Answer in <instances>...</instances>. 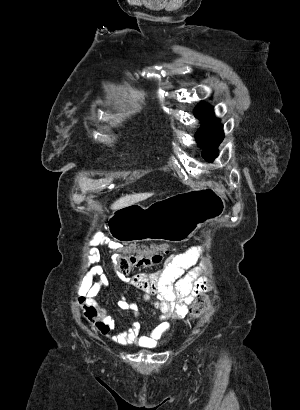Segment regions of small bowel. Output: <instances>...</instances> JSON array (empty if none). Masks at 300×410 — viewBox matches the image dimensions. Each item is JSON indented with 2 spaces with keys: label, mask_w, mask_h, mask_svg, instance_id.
<instances>
[{
  "label": "small bowel",
  "mask_w": 300,
  "mask_h": 410,
  "mask_svg": "<svg viewBox=\"0 0 300 410\" xmlns=\"http://www.w3.org/2000/svg\"><path fill=\"white\" fill-rule=\"evenodd\" d=\"M101 242L102 237L96 236L91 239L89 245L94 247ZM201 251L200 246H193L184 253L171 254L166 259L164 268L151 274L126 276L116 273V277L127 286L143 291L145 300L151 301L159 314L157 323L150 330L143 332L139 320L136 319L129 327L112 337L114 343L153 348L170 329L168 319L186 316L194 297L209 288V281L202 276L207 264L201 259ZM94 276L99 278L98 282H93ZM109 282L110 277L104 267H91L89 274L83 279L78 298L84 319L104 336L123 325L122 321L111 317L107 309L95 300L101 288ZM151 296L154 300H150ZM117 307L121 311L132 312L136 317L139 315V305L124 296L117 302Z\"/></svg>",
  "instance_id": "1"
}]
</instances>
